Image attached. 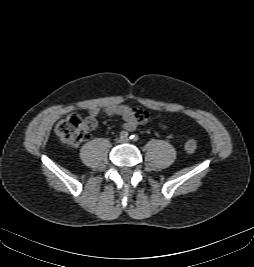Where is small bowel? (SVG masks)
I'll return each mask as SVG.
<instances>
[{"mask_svg":"<svg viewBox=\"0 0 254 267\" xmlns=\"http://www.w3.org/2000/svg\"><path fill=\"white\" fill-rule=\"evenodd\" d=\"M103 115L119 116L124 121V128L132 131L138 125L145 124L152 119H161V115L152 116L143 109L131 108L125 104H111L103 107L93 106L89 109V116L97 119Z\"/></svg>","mask_w":254,"mask_h":267,"instance_id":"c3829d8e","label":"small bowel"}]
</instances>
